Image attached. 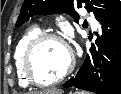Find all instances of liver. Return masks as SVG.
<instances>
[{"label": "liver", "instance_id": "obj_1", "mask_svg": "<svg viewBox=\"0 0 121 94\" xmlns=\"http://www.w3.org/2000/svg\"><path fill=\"white\" fill-rule=\"evenodd\" d=\"M60 93H61L60 91H56V90H46V91L37 92L34 94H60Z\"/></svg>", "mask_w": 121, "mask_h": 94}]
</instances>
